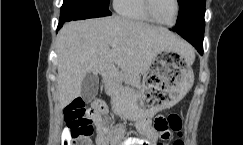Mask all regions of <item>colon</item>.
<instances>
[{
	"mask_svg": "<svg viewBox=\"0 0 243 145\" xmlns=\"http://www.w3.org/2000/svg\"><path fill=\"white\" fill-rule=\"evenodd\" d=\"M94 110L88 108L81 99H76L66 106L64 117L72 137V145H91L90 137L94 131L104 132L105 126L97 127L93 120ZM155 130L162 138L170 135V130L178 132L181 136L182 118L172 113L168 117L158 116L154 121ZM173 145H184L182 139H177Z\"/></svg>",
	"mask_w": 243,
	"mask_h": 145,
	"instance_id": "1",
	"label": "colon"
}]
</instances>
